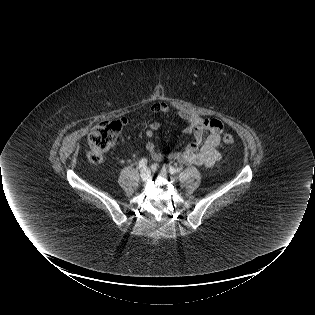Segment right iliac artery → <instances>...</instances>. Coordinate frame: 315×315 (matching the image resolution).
Returning <instances> with one entry per match:
<instances>
[{
	"label": "right iliac artery",
	"instance_id": "1",
	"mask_svg": "<svg viewBox=\"0 0 315 315\" xmlns=\"http://www.w3.org/2000/svg\"><path fill=\"white\" fill-rule=\"evenodd\" d=\"M147 165V159L143 158L139 161V167L140 168H145Z\"/></svg>",
	"mask_w": 315,
	"mask_h": 315
}]
</instances>
